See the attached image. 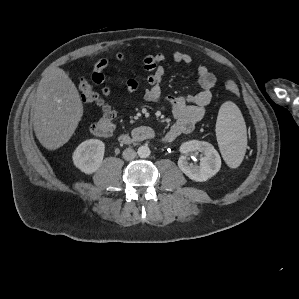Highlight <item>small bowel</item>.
I'll use <instances>...</instances> for the list:
<instances>
[{
	"label": "small bowel",
	"instance_id": "c3829d8e",
	"mask_svg": "<svg viewBox=\"0 0 299 299\" xmlns=\"http://www.w3.org/2000/svg\"><path fill=\"white\" fill-rule=\"evenodd\" d=\"M137 52L131 50L128 53L118 52L116 54L117 61L126 59H135ZM166 57L163 53L148 54L143 58V64L148 71V87L143 91V97L148 102H158L162 96V80L165 74L163 63ZM173 60L176 63L190 64L193 61L191 55L183 52H175ZM109 66L107 58L99 59L93 67L92 80L101 86L104 96H111L112 90L106 83L104 70ZM198 83L200 90L196 94L186 96H167L165 101L170 107L175 122L163 135L162 140L171 142L183 134L191 133L198 122L206 115L207 106L212 102L213 89L216 85V76L210 72L205 66L197 67ZM127 92H135L138 89V81L134 78H128L124 81Z\"/></svg>",
	"mask_w": 299,
	"mask_h": 299
}]
</instances>
